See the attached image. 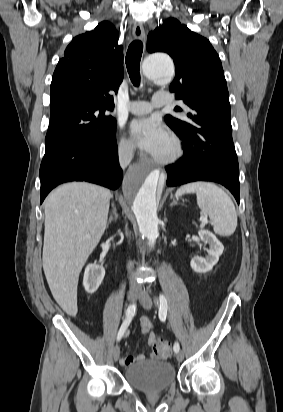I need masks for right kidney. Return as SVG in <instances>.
I'll return each instance as SVG.
<instances>
[{"label":"right kidney","mask_w":283,"mask_h":412,"mask_svg":"<svg viewBox=\"0 0 283 412\" xmlns=\"http://www.w3.org/2000/svg\"><path fill=\"white\" fill-rule=\"evenodd\" d=\"M105 276V269L99 264H89L85 268L83 286L87 293H94L99 288Z\"/></svg>","instance_id":"ca27d5eb"}]
</instances>
